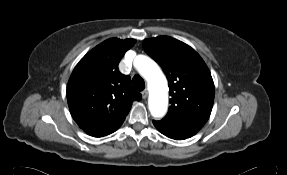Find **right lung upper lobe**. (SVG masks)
Masks as SVG:
<instances>
[{
    "mask_svg": "<svg viewBox=\"0 0 287 175\" xmlns=\"http://www.w3.org/2000/svg\"><path fill=\"white\" fill-rule=\"evenodd\" d=\"M136 40L111 38L87 53L74 68L67 85V101L75 122L87 134L103 137L123 123L133 101L142 95L118 64Z\"/></svg>",
    "mask_w": 287,
    "mask_h": 175,
    "instance_id": "obj_1",
    "label": "right lung upper lobe"
}]
</instances>
